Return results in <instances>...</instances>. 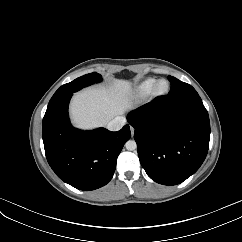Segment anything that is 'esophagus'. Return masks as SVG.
Masks as SVG:
<instances>
[{
  "mask_svg": "<svg viewBox=\"0 0 242 242\" xmlns=\"http://www.w3.org/2000/svg\"><path fill=\"white\" fill-rule=\"evenodd\" d=\"M131 129V135L133 136L134 135V128L130 127Z\"/></svg>",
  "mask_w": 242,
  "mask_h": 242,
  "instance_id": "1",
  "label": "esophagus"
}]
</instances>
